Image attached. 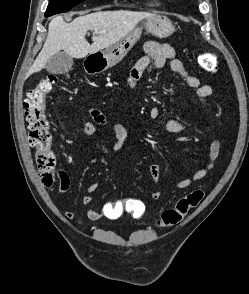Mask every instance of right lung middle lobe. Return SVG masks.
Here are the masks:
<instances>
[{
	"mask_svg": "<svg viewBox=\"0 0 249 294\" xmlns=\"http://www.w3.org/2000/svg\"><path fill=\"white\" fill-rule=\"evenodd\" d=\"M83 1L85 0H51L45 12V17L62 12H68L76 4H79Z\"/></svg>",
	"mask_w": 249,
	"mask_h": 294,
	"instance_id": "1",
	"label": "right lung middle lobe"
}]
</instances>
